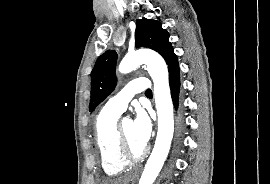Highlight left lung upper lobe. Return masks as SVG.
<instances>
[{
  "label": "left lung upper lobe",
  "mask_w": 270,
  "mask_h": 184,
  "mask_svg": "<svg viewBox=\"0 0 270 184\" xmlns=\"http://www.w3.org/2000/svg\"><path fill=\"white\" fill-rule=\"evenodd\" d=\"M135 46L157 51L168 63L174 55L169 42V33L162 29L160 22L146 18L138 19L135 30ZM117 53L106 51L98 57L91 72V96L89 111L94 109L114 90Z\"/></svg>",
  "instance_id": "1"
}]
</instances>
